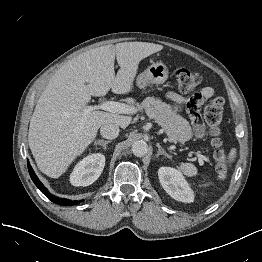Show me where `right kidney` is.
Instances as JSON below:
<instances>
[{
	"label": "right kidney",
	"mask_w": 262,
	"mask_h": 262,
	"mask_svg": "<svg viewBox=\"0 0 262 262\" xmlns=\"http://www.w3.org/2000/svg\"><path fill=\"white\" fill-rule=\"evenodd\" d=\"M105 166V156L101 153L91 154L75 166L70 175V182L74 186H89L101 175Z\"/></svg>",
	"instance_id": "right-kidney-1"
}]
</instances>
